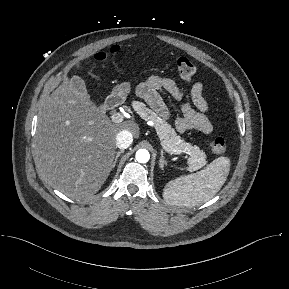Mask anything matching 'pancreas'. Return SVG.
I'll list each match as a JSON object with an SVG mask.
<instances>
[{
  "label": "pancreas",
  "mask_w": 289,
  "mask_h": 289,
  "mask_svg": "<svg viewBox=\"0 0 289 289\" xmlns=\"http://www.w3.org/2000/svg\"><path fill=\"white\" fill-rule=\"evenodd\" d=\"M133 106L139 115L146 121H152L162 144L168 145L180 153L189 154L187 170L196 171L206 164V154L196 145L185 142L178 136L165 119L160 118L153 110L141 102H134Z\"/></svg>",
  "instance_id": "1"
}]
</instances>
